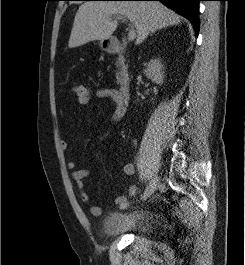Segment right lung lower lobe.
I'll list each match as a JSON object with an SVG mask.
<instances>
[{"mask_svg":"<svg viewBox=\"0 0 245 265\" xmlns=\"http://www.w3.org/2000/svg\"><path fill=\"white\" fill-rule=\"evenodd\" d=\"M105 1V0H103ZM109 1V0H106ZM114 1H160L167 7L187 18L194 27L196 35L199 32V1L201 0H114Z\"/></svg>","mask_w":245,"mask_h":265,"instance_id":"obj_1","label":"right lung lower lobe"}]
</instances>
